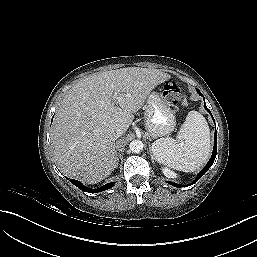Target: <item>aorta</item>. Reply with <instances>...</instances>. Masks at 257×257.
<instances>
[{
	"instance_id": "762f6f07",
	"label": "aorta",
	"mask_w": 257,
	"mask_h": 257,
	"mask_svg": "<svg viewBox=\"0 0 257 257\" xmlns=\"http://www.w3.org/2000/svg\"><path fill=\"white\" fill-rule=\"evenodd\" d=\"M144 144L141 140H133L130 145L129 148L133 153H139L143 150Z\"/></svg>"
}]
</instances>
